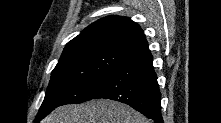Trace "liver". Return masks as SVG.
I'll use <instances>...</instances> for the list:
<instances>
[{
  "instance_id": "liver-1",
  "label": "liver",
  "mask_w": 221,
  "mask_h": 123,
  "mask_svg": "<svg viewBox=\"0 0 221 123\" xmlns=\"http://www.w3.org/2000/svg\"><path fill=\"white\" fill-rule=\"evenodd\" d=\"M42 123H149V120L125 104L98 99L58 107Z\"/></svg>"
}]
</instances>
